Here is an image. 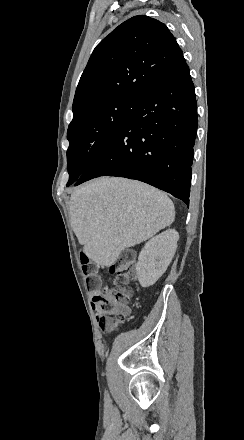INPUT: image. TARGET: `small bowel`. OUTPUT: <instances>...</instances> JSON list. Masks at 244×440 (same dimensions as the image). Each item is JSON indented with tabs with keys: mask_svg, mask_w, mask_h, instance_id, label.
Masks as SVG:
<instances>
[{
	"mask_svg": "<svg viewBox=\"0 0 244 440\" xmlns=\"http://www.w3.org/2000/svg\"><path fill=\"white\" fill-rule=\"evenodd\" d=\"M96 294H98V292H97V291L93 292V296H95Z\"/></svg>",
	"mask_w": 244,
	"mask_h": 440,
	"instance_id": "c3829d8e",
	"label": "small bowel"
}]
</instances>
